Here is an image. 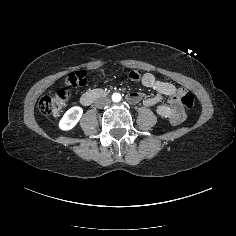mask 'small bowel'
I'll list each match as a JSON object with an SVG mask.
<instances>
[{
    "label": "small bowel",
    "instance_id": "obj_1",
    "mask_svg": "<svg viewBox=\"0 0 236 236\" xmlns=\"http://www.w3.org/2000/svg\"><path fill=\"white\" fill-rule=\"evenodd\" d=\"M144 84L149 87H155L154 81H152L149 76L145 77Z\"/></svg>",
    "mask_w": 236,
    "mask_h": 236
}]
</instances>
